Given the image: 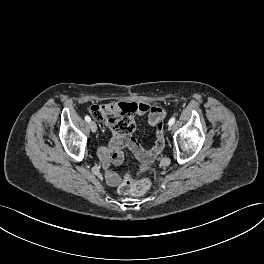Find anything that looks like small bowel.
Here are the masks:
<instances>
[{"label": "small bowel", "mask_w": 264, "mask_h": 264, "mask_svg": "<svg viewBox=\"0 0 264 264\" xmlns=\"http://www.w3.org/2000/svg\"><path fill=\"white\" fill-rule=\"evenodd\" d=\"M137 105V115H147L148 123L151 127L156 128L165 119L166 110L160 106H153L147 103H135ZM164 143L159 145L157 140L148 148L141 147L131 136L116 133L112 131V138L106 146L98 150V157L103 164L106 180L109 185L116 186L119 181V175L114 172L111 165H119L123 162V149L129 148L136 157L142 162H151L163 149Z\"/></svg>", "instance_id": "obj_1"}]
</instances>
